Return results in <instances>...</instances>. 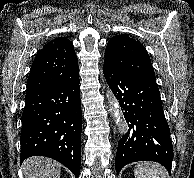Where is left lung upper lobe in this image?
<instances>
[{
	"instance_id": "1",
	"label": "left lung upper lobe",
	"mask_w": 194,
	"mask_h": 178,
	"mask_svg": "<svg viewBox=\"0 0 194 178\" xmlns=\"http://www.w3.org/2000/svg\"><path fill=\"white\" fill-rule=\"evenodd\" d=\"M104 62L128 74L156 82L153 66L145 47L129 35H116L109 40Z\"/></svg>"
}]
</instances>
